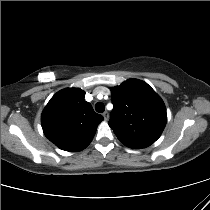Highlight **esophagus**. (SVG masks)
<instances>
[{"mask_svg": "<svg viewBox=\"0 0 210 210\" xmlns=\"http://www.w3.org/2000/svg\"><path fill=\"white\" fill-rule=\"evenodd\" d=\"M102 116H103V118H104L105 120H108V118H109L108 112H104V113L102 114Z\"/></svg>", "mask_w": 210, "mask_h": 210, "instance_id": "esophagus-1", "label": "esophagus"}]
</instances>
